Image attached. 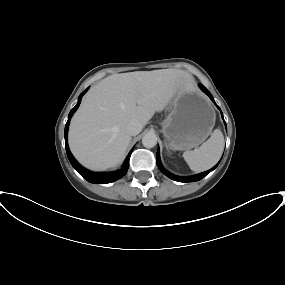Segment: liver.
<instances>
[{
    "label": "liver",
    "instance_id": "obj_1",
    "mask_svg": "<svg viewBox=\"0 0 285 285\" xmlns=\"http://www.w3.org/2000/svg\"><path fill=\"white\" fill-rule=\"evenodd\" d=\"M191 74L178 69L114 74L101 80L84 97L69 128L75 158L91 170L119 164L131 141V120L142 126L182 92H194Z\"/></svg>",
    "mask_w": 285,
    "mask_h": 285
}]
</instances>
